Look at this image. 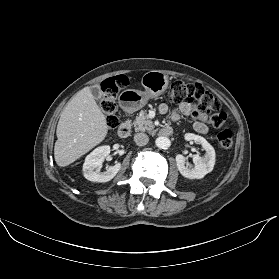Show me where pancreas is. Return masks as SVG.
Returning a JSON list of instances; mask_svg holds the SVG:
<instances>
[{
	"mask_svg": "<svg viewBox=\"0 0 279 279\" xmlns=\"http://www.w3.org/2000/svg\"><path fill=\"white\" fill-rule=\"evenodd\" d=\"M135 130L138 131H148L149 133L154 132L153 122L149 119L147 113L143 110L139 112V115L135 118L133 122Z\"/></svg>",
	"mask_w": 279,
	"mask_h": 279,
	"instance_id": "pancreas-1",
	"label": "pancreas"
}]
</instances>
